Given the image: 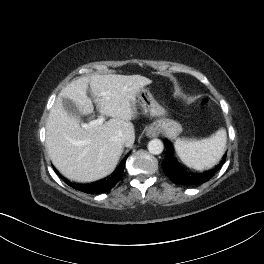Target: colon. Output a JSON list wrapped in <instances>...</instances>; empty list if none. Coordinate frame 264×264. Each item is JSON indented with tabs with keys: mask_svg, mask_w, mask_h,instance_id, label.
Masks as SVG:
<instances>
[{
	"mask_svg": "<svg viewBox=\"0 0 264 264\" xmlns=\"http://www.w3.org/2000/svg\"><path fill=\"white\" fill-rule=\"evenodd\" d=\"M208 101H209V99H204V101H203V102H204V103H207Z\"/></svg>",
	"mask_w": 264,
	"mask_h": 264,
	"instance_id": "1",
	"label": "colon"
}]
</instances>
